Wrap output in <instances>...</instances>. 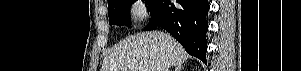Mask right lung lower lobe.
Listing matches in <instances>:
<instances>
[{"mask_svg":"<svg viewBox=\"0 0 301 71\" xmlns=\"http://www.w3.org/2000/svg\"><path fill=\"white\" fill-rule=\"evenodd\" d=\"M156 0L151 11V20L144 30L159 26L178 40L185 50L206 63V32L209 11L207 0Z\"/></svg>","mask_w":301,"mask_h":71,"instance_id":"98d812e1","label":"right lung lower lobe"}]
</instances>
